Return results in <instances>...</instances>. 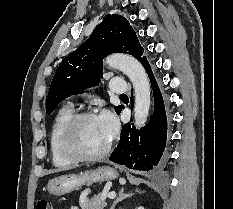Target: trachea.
<instances>
[{"instance_id": "3493384b", "label": "trachea", "mask_w": 233, "mask_h": 209, "mask_svg": "<svg viewBox=\"0 0 233 209\" xmlns=\"http://www.w3.org/2000/svg\"><path fill=\"white\" fill-rule=\"evenodd\" d=\"M120 96H126V94H121Z\"/></svg>"}]
</instances>
